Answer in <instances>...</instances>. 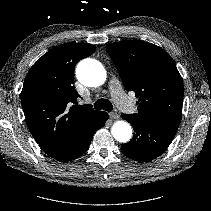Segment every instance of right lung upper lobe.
<instances>
[{
  "mask_svg": "<svg viewBox=\"0 0 211 211\" xmlns=\"http://www.w3.org/2000/svg\"><path fill=\"white\" fill-rule=\"evenodd\" d=\"M95 50L85 43L56 46L36 61L24 80V115L34 139L49 156L102 112L89 104L79 106L80 95L73 86L75 65Z\"/></svg>",
  "mask_w": 211,
  "mask_h": 211,
  "instance_id": "right-lung-upper-lobe-1",
  "label": "right lung upper lobe"
}]
</instances>
